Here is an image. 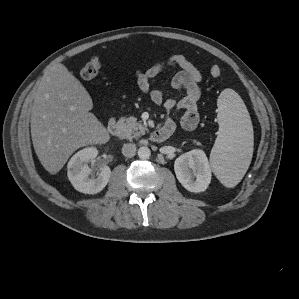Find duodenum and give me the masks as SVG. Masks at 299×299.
<instances>
[{
	"instance_id": "1",
	"label": "duodenum",
	"mask_w": 299,
	"mask_h": 299,
	"mask_svg": "<svg viewBox=\"0 0 299 299\" xmlns=\"http://www.w3.org/2000/svg\"><path fill=\"white\" fill-rule=\"evenodd\" d=\"M108 133L116 138L123 137V131L120 124L115 120L111 119L107 126ZM171 131L165 127H161L151 133V140L154 142H163L169 138Z\"/></svg>"
}]
</instances>
